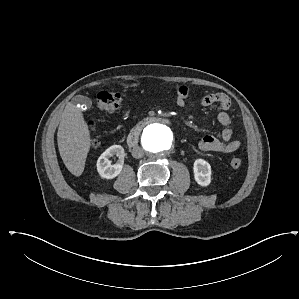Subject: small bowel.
<instances>
[{
    "label": "small bowel",
    "instance_id": "obj_1",
    "mask_svg": "<svg viewBox=\"0 0 299 299\" xmlns=\"http://www.w3.org/2000/svg\"><path fill=\"white\" fill-rule=\"evenodd\" d=\"M189 90L186 86L178 88L176 102L179 107L186 106V100ZM203 107L217 105L220 111L217 114V121L223 127L220 138L214 136H205L199 142V149L204 152H214L220 154H230L240 147V141L233 140V131L231 129V117L228 109L231 105L230 98L224 93L207 94L201 99Z\"/></svg>",
    "mask_w": 299,
    "mask_h": 299
}]
</instances>
